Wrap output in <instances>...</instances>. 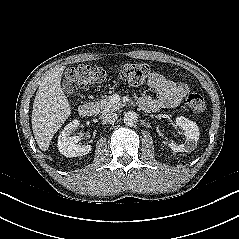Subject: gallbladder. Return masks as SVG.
Masks as SVG:
<instances>
[{"label": "gallbladder", "instance_id": "gallbladder-1", "mask_svg": "<svg viewBox=\"0 0 239 239\" xmlns=\"http://www.w3.org/2000/svg\"><path fill=\"white\" fill-rule=\"evenodd\" d=\"M62 86H63V90H64L67 94L73 93L74 87H73V85H72L71 83L65 81V82H63Z\"/></svg>", "mask_w": 239, "mask_h": 239}]
</instances>
